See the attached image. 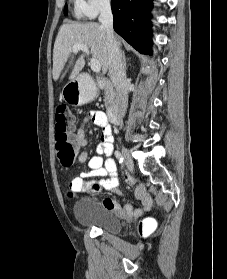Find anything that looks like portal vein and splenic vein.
Instances as JSON below:
<instances>
[{"label":"portal vein and splenic vein","mask_w":227,"mask_h":279,"mask_svg":"<svg viewBox=\"0 0 227 279\" xmlns=\"http://www.w3.org/2000/svg\"><path fill=\"white\" fill-rule=\"evenodd\" d=\"M73 52L77 53L78 51H83L84 53H86L87 55H89V49L86 45L83 44H76L73 46ZM90 67L92 69V71L98 73L101 70V65L100 62L97 59L92 58L90 60Z\"/></svg>","instance_id":"portal-vein-and-splenic-vein-1"}]
</instances>
